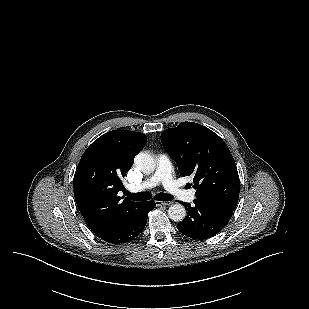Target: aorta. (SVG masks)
I'll use <instances>...</instances> for the list:
<instances>
[{
    "label": "aorta",
    "instance_id": "762f6f07",
    "mask_svg": "<svg viewBox=\"0 0 309 309\" xmlns=\"http://www.w3.org/2000/svg\"><path fill=\"white\" fill-rule=\"evenodd\" d=\"M134 164L136 168L144 174H151L156 168L154 158L150 154L144 152H140L135 156ZM168 216L175 222H181L186 216L185 207L179 203L171 205L168 209Z\"/></svg>",
    "mask_w": 309,
    "mask_h": 309
}]
</instances>
